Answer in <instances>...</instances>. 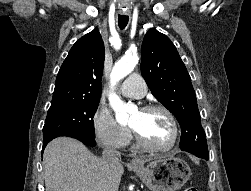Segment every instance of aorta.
Returning a JSON list of instances; mask_svg holds the SVG:
<instances>
[{"label":"aorta","mask_w":251,"mask_h":191,"mask_svg":"<svg viewBox=\"0 0 251 191\" xmlns=\"http://www.w3.org/2000/svg\"><path fill=\"white\" fill-rule=\"evenodd\" d=\"M138 62V56L136 52H127L117 64H115L112 72H111V82L113 86H115L116 82L119 80H123L126 78L128 74L133 72L136 64ZM110 105L113 107L115 111V117L117 121H123V119H128L129 113L134 111V105H128V103H124L120 97L115 96V94H111L110 96Z\"/></svg>","instance_id":"obj_1"}]
</instances>
